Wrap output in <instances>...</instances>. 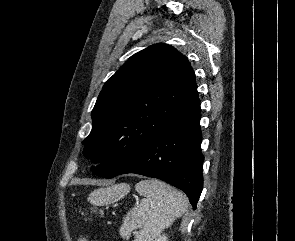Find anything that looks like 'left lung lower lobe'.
Here are the masks:
<instances>
[{"label":"left lung lower lobe","mask_w":295,"mask_h":241,"mask_svg":"<svg viewBox=\"0 0 295 241\" xmlns=\"http://www.w3.org/2000/svg\"><path fill=\"white\" fill-rule=\"evenodd\" d=\"M201 141L199 105L152 138L110 178L135 173L161 179L181 189L196 209L203 188Z\"/></svg>","instance_id":"1"}]
</instances>
